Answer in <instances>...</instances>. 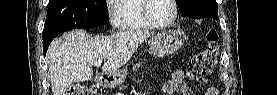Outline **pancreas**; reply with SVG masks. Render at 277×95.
Returning a JSON list of instances; mask_svg holds the SVG:
<instances>
[{"mask_svg":"<svg viewBox=\"0 0 277 95\" xmlns=\"http://www.w3.org/2000/svg\"><path fill=\"white\" fill-rule=\"evenodd\" d=\"M144 61H145V60H144ZM141 65H142L141 62L136 63V64L133 66V71H137V69H139Z\"/></svg>","mask_w":277,"mask_h":95,"instance_id":"obj_1","label":"pancreas"}]
</instances>
